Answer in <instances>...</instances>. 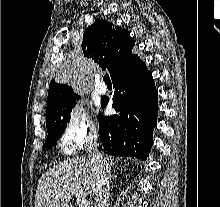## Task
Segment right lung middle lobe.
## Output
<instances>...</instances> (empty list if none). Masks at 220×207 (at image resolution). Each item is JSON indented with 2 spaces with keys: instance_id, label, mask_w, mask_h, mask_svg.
I'll return each mask as SVG.
<instances>
[{
  "instance_id": "dd1d6c3e",
  "label": "right lung middle lobe",
  "mask_w": 220,
  "mask_h": 207,
  "mask_svg": "<svg viewBox=\"0 0 220 207\" xmlns=\"http://www.w3.org/2000/svg\"><path fill=\"white\" fill-rule=\"evenodd\" d=\"M79 98L80 96L74 95L66 100L55 113L47 117L48 136L44 147L51 148L61 137L70 120L72 108L76 105L75 100H79Z\"/></svg>"
}]
</instances>
